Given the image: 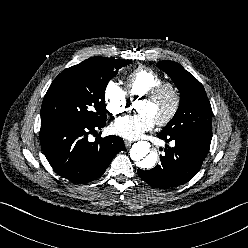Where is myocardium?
Listing matches in <instances>:
<instances>
[{"instance_id":"1","label":"myocardium","mask_w":248,"mask_h":248,"mask_svg":"<svg viewBox=\"0 0 248 248\" xmlns=\"http://www.w3.org/2000/svg\"><path fill=\"white\" fill-rule=\"evenodd\" d=\"M164 90L170 91L173 98V103L169 112L162 119L155 122L157 126L167 125L174 119V117L178 113L181 104V96L179 90L172 82L161 81L142 95V99L152 100Z\"/></svg>"}]
</instances>
